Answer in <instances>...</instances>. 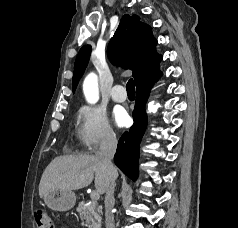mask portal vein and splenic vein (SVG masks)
Returning a JSON list of instances; mask_svg holds the SVG:
<instances>
[{"mask_svg":"<svg viewBox=\"0 0 238 228\" xmlns=\"http://www.w3.org/2000/svg\"><path fill=\"white\" fill-rule=\"evenodd\" d=\"M99 193L97 192V191H92L91 192V194H90V198L92 199V200H97V199H99Z\"/></svg>","mask_w":238,"mask_h":228,"instance_id":"1","label":"portal vein and splenic vein"}]
</instances>
